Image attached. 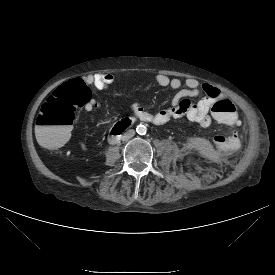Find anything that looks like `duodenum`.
Instances as JSON below:
<instances>
[{
  "label": "duodenum",
  "mask_w": 275,
  "mask_h": 275,
  "mask_svg": "<svg viewBox=\"0 0 275 275\" xmlns=\"http://www.w3.org/2000/svg\"><path fill=\"white\" fill-rule=\"evenodd\" d=\"M134 124V119L131 117L124 118L117 122L110 130L108 141L115 144L123 132L129 129Z\"/></svg>",
  "instance_id": "1"
}]
</instances>
